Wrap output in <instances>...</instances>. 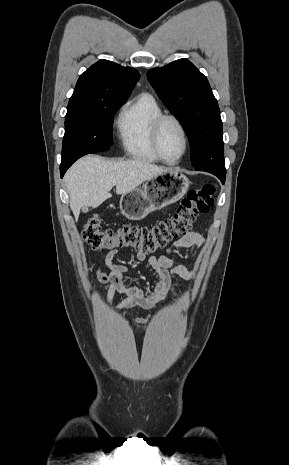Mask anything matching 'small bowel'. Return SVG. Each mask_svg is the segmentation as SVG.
Here are the masks:
<instances>
[{
  "mask_svg": "<svg viewBox=\"0 0 289 465\" xmlns=\"http://www.w3.org/2000/svg\"><path fill=\"white\" fill-rule=\"evenodd\" d=\"M203 237L196 232L186 233L175 240L164 253L159 256H149L137 252L136 259L140 262L147 261L149 268L157 277L156 285L148 291L142 290L135 281L127 277L128 267L114 262L117 251H110L104 258V263L110 268V273H105L101 268L97 270V278L103 285V291L107 292L108 303L114 309L123 312L134 307L153 309L162 302L168 294H176L179 285L175 278L191 280L193 275L184 265H173V253L182 248H199L203 245ZM125 295V299L117 305L112 304L114 293ZM137 318V324H145L151 319Z\"/></svg>",
  "mask_w": 289,
  "mask_h": 465,
  "instance_id": "small-bowel-1",
  "label": "small bowel"
}]
</instances>
